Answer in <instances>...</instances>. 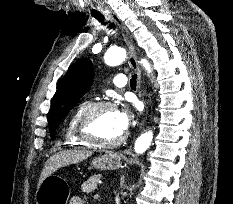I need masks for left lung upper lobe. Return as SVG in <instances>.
<instances>
[{"label": "left lung upper lobe", "instance_id": "5c2ea615", "mask_svg": "<svg viewBox=\"0 0 233 204\" xmlns=\"http://www.w3.org/2000/svg\"><path fill=\"white\" fill-rule=\"evenodd\" d=\"M93 76L92 62L84 58L72 65L61 80L49 113V130L52 139L65 116L90 89Z\"/></svg>", "mask_w": 233, "mask_h": 204}]
</instances>
